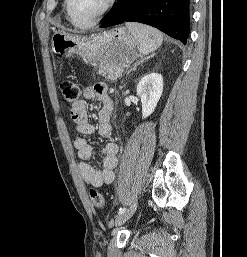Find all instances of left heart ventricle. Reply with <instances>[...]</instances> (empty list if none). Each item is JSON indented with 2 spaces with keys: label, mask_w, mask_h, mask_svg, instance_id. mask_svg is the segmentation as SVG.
<instances>
[{
  "label": "left heart ventricle",
  "mask_w": 247,
  "mask_h": 257,
  "mask_svg": "<svg viewBox=\"0 0 247 257\" xmlns=\"http://www.w3.org/2000/svg\"><path fill=\"white\" fill-rule=\"evenodd\" d=\"M107 0H70L72 17L80 24L92 21L104 8Z\"/></svg>",
  "instance_id": "b2bd125f"
}]
</instances>
